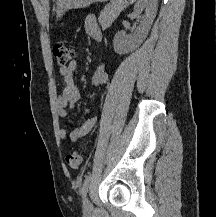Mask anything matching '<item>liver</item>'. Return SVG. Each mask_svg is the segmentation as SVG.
I'll return each instance as SVG.
<instances>
[{
    "mask_svg": "<svg viewBox=\"0 0 216 217\" xmlns=\"http://www.w3.org/2000/svg\"><path fill=\"white\" fill-rule=\"evenodd\" d=\"M43 1H44V3L48 6L49 0H43Z\"/></svg>",
    "mask_w": 216,
    "mask_h": 217,
    "instance_id": "obj_1",
    "label": "liver"
}]
</instances>
